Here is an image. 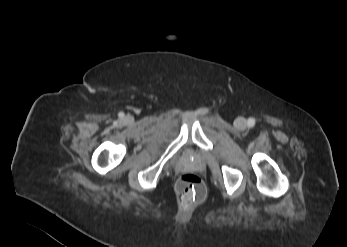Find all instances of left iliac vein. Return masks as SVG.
Segmentation results:
<instances>
[{"instance_id": "1", "label": "left iliac vein", "mask_w": 347, "mask_h": 247, "mask_svg": "<svg viewBox=\"0 0 347 247\" xmlns=\"http://www.w3.org/2000/svg\"><path fill=\"white\" fill-rule=\"evenodd\" d=\"M234 124H235V126H236L237 128L243 129V128L246 127L247 122H246V119H245V118H243V117H238V118L235 120Z\"/></svg>"}]
</instances>
